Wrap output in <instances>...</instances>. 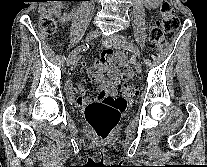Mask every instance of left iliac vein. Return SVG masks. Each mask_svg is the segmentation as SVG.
<instances>
[{"mask_svg":"<svg viewBox=\"0 0 207 167\" xmlns=\"http://www.w3.org/2000/svg\"><path fill=\"white\" fill-rule=\"evenodd\" d=\"M109 39L115 48H126V45L130 43L124 36L119 34H114ZM134 66L136 72L140 73L142 65L136 58L134 59Z\"/></svg>","mask_w":207,"mask_h":167,"instance_id":"obj_1","label":"left iliac vein"}]
</instances>
